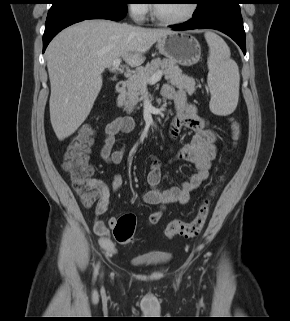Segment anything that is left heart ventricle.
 Returning a JSON list of instances; mask_svg holds the SVG:
<instances>
[{
    "instance_id": "obj_1",
    "label": "left heart ventricle",
    "mask_w": 290,
    "mask_h": 321,
    "mask_svg": "<svg viewBox=\"0 0 290 321\" xmlns=\"http://www.w3.org/2000/svg\"><path fill=\"white\" fill-rule=\"evenodd\" d=\"M157 14L166 19H176L184 16L189 11L188 0H158L154 4Z\"/></svg>"
}]
</instances>
